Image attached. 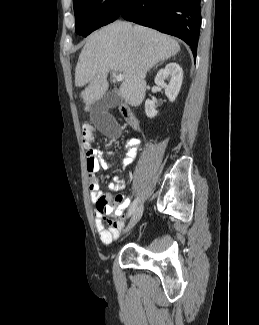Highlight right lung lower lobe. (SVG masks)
<instances>
[{"instance_id": "98d812e1", "label": "right lung lower lobe", "mask_w": 259, "mask_h": 325, "mask_svg": "<svg viewBox=\"0 0 259 325\" xmlns=\"http://www.w3.org/2000/svg\"><path fill=\"white\" fill-rule=\"evenodd\" d=\"M119 17L179 37L196 56L201 0H126Z\"/></svg>"}]
</instances>
